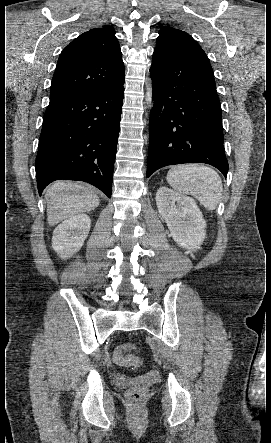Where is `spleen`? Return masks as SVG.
<instances>
[{"label": "spleen", "mask_w": 271, "mask_h": 443, "mask_svg": "<svg viewBox=\"0 0 271 443\" xmlns=\"http://www.w3.org/2000/svg\"><path fill=\"white\" fill-rule=\"evenodd\" d=\"M173 190L194 196L206 210H216L222 196V180L212 168L199 164L173 166L166 178Z\"/></svg>", "instance_id": "1"}]
</instances>
